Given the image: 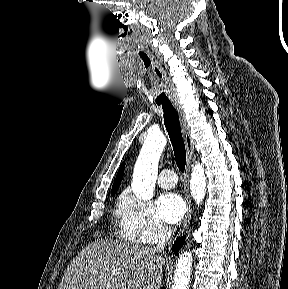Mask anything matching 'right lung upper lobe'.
<instances>
[{"mask_svg": "<svg viewBox=\"0 0 288 289\" xmlns=\"http://www.w3.org/2000/svg\"><path fill=\"white\" fill-rule=\"evenodd\" d=\"M124 168H125V162H123L118 170L117 176L115 178L114 184L112 186V191L118 190L119 185L121 183L123 173H124Z\"/></svg>", "mask_w": 288, "mask_h": 289, "instance_id": "obj_1", "label": "right lung upper lobe"}]
</instances>
